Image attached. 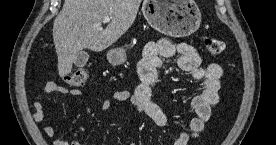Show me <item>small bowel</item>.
I'll return each instance as SVG.
<instances>
[{"label":"small bowel","instance_id":"1","mask_svg":"<svg viewBox=\"0 0 276 145\" xmlns=\"http://www.w3.org/2000/svg\"><path fill=\"white\" fill-rule=\"evenodd\" d=\"M177 58L178 67L188 73L195 80L201 81L202 91L192 98L191 106L196 116L190 120L188 131L181 132L173 145H187L190 139L198 137L204 130L205 124L210 119L212 109L219 102L218 91L220 79L223 75L222 68L216 63L201 65L198 51L187 43H176L169 39L149 42L143 51V57L137 65L140 83L134 90H116L112 96L102 102V108L108 109L115 102H130L137 112L149 117L157 126L168 127L169 122L161 107L152 101V88L158 79V70L162 65V58ZM44 94H63L78 97L82 94L77 88H67L56 82L46 83L33 102V119L39 123L45 118V111L41 102ZM84 126L79 127V132L84 131ZM44 134L53 138L56 134L54 126H46ZM78 132L73 134L71 142L54 139L52 145H80L77 139ZM129 145H134L130 143Z\"/></svg>","mask_w":276,"mask_h":145}]
</instances>
